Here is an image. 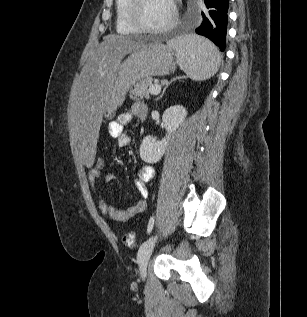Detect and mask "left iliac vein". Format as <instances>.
<instances>
[{"mask_svg": "<svg viewBox=\"0 0 307 317\" xmlns=\"http://www.w3.org/2000/svg\"><path fill=\"white\" fill-rule=\"evenodd\" d=\"M156 241L157 234H154L149 239H147L138 250L137 261L139 264L140 276L142 278H145L146 276L147 266Z\"/></svg>", "mask_w": 307, "mask_h": 317, "instance_id": "left-iliac-vein-1", "label": "left iliac vein"}]
</instances>
